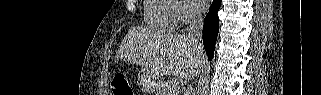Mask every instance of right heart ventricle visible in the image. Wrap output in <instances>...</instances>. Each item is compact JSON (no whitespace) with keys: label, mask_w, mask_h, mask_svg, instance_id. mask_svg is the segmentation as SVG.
I'll return each mask as SVG.
<instances>
[{"label":"right heart ventricle","mask_w":321,"mask_h":95,"mask_svg":"<svg viewBox=\"0 0 321 95\" xmlns=\"http://www.w3.org/2000/svg\"><path fill=\"white\" fill-rule=\"evenodd\" d=\"M144 19L148 27L161 32L173 30L177 23L169 0H146Z\"/></svg>","instance_id":"obj_1"}]
</instances>
